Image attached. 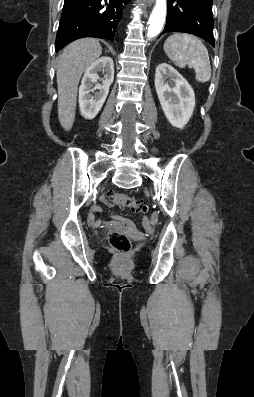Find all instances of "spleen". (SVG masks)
Instances as JSON below:
<instances>
[{"label": "spleen", "instance_id": "obj_1", "mask_svg": "<svg viewBox=\"0 0 254 397\" xmlns=\"http://www.w3.org/2000/svg\"><path fill=\"white\" fill-rule=\"evenodd\" d=\"M164 51L178 67L194 68L196 81L205 83L211 78V65L207 48L197 37L187 33H175L164 43Z\"/></svg>", "mask_w": 254, "mask_h": 397}]
</instances>
